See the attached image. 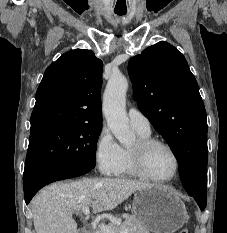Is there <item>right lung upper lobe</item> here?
<instances>
[{
  "label": "right lung upper lobe",
  "instance_id": "cb5924a9",
  "mask_svg": "<svg viewBox=\"0 0 227 233\" xmlns=\"http://www.w3.org/2000/svg\"><path fill=\"white\" fill-rule=\"evenodd\" d=\"M102 70V61L91 50L61 55L37 89L30 134L60 125L101 124Z\"/></svg>",
  "mask_w": 227,
  "mask_h": 233
}]
</instances>
